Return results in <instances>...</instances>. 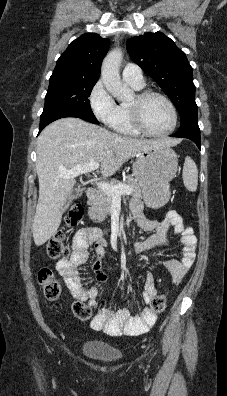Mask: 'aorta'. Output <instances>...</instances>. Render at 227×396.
Masks as SVG:
<instances>
[{
    "label": "aorta",
    "instance_id": "1",
    "mask_svg": "<svg viewBox=\"0 0 227 396\" xmlns=\"http://www.w3.org/2000/svg\"><path fill=\"white\" fill-rule=\"evenodd\" d=\"M122 62V51L114 49L107 54L101 69V78L107 91L119 101L127 100L132 91L123 85L120 78V65Z\"/></svg>",
    "mask_w": 227,
    "mask_h": 396
}]
</instances>
